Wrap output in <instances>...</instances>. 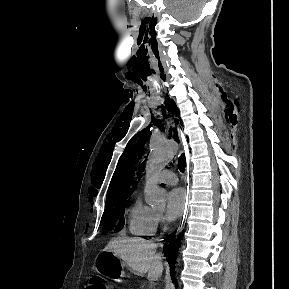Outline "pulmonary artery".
<instances>
[{"instance_id":"pulmonary-artery-1","label":"pulmonary artery","mask_w":289,"mask_h":289,"mask_svg":"<svg viewBox=\"0 0 289 289\" xmlns=\"http://www.w3.org/2000/svg\"><path fill=\"white\" fill-rule=\"evenodd\" d=\"M156 181L165 185H174L177 182V176L172 170H163L156 175Z\"/></svg>"}]
</instances>
